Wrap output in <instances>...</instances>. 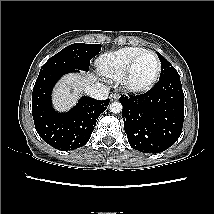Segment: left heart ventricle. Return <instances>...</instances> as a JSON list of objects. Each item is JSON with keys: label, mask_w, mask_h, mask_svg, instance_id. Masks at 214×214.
Here are the masks:
<instances>
[{"label": "left heart ventricle", "mask_w": 214, "mask_h": 214, "mask_svg": "<svg viewBox=\"0 0 214 214\" xmlns=\"http://www.w3.org/2000/svg\"><path fill=\"white\" fill-rule=\"evenodd\" d=\"M157 62L153 55H144L136 64L132 79L134 83L142 84L150 80L155 74Z\"/></svg>", "instance_id": "left-heart-ventricle-1"}]
</instances>
